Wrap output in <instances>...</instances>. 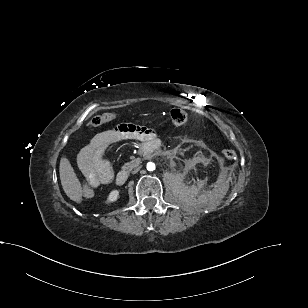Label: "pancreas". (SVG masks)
Masks as SVG:
<instances>
[{
	"label": "pancreas",
	"instance_id": "1",
	"mask_svg": "<svg viewBox=\"0 0 308 308\" xmlns=\"http://www.w3.org/2000/svg\"><path fill=\"white\" fill-rule=\"evenodd\" d=\"M140 161L141 160L139 158L133 159L131 162L126 163L122 168L128 171L132 170L134 167L139 165Z\"/></svg>",
	"mask_w": 308,
	"mask_h": 308
}]
</instances>
